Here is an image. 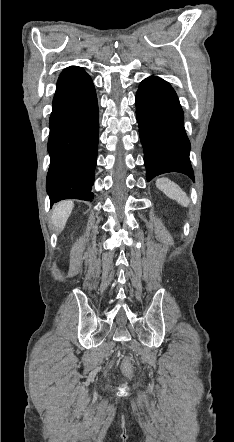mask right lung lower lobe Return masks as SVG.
<instances>
[{"mask_svg":"<svg viewBox=\"0 0 234 442\" xmlns=\"http://www.w3.org/2000/svg\"><path fill=\"white\" fill-rule=\"evenodd\" d=\"M49 127L51 205L68 198L92 201L99 113L93 82L82 68L71 66L60 74Z\"/></svg>","mask_w":234,"mask_h":442,"instance_id":"98d812e1","label":"right lung lower lobe"}]
</instances>
